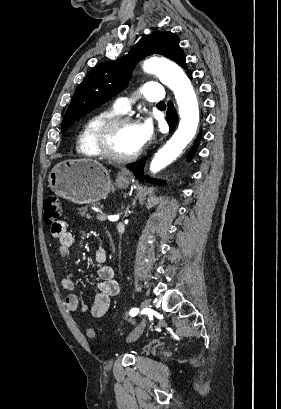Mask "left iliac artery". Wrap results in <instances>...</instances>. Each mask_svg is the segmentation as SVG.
<instances>
[{
    "instance_id": "obj_1",
    "label": "left iliac artery",
    "mask_w": 281,
    "mask_h": 409,
    "mask_svg": "<svg viewBox=\"0 0 281 409\" xmlns=\"http://www.w3.org/2000/svg\"><path fill=\"white\" fill-rule=\"evenodd\" d=\"M139 309L138 308H133L130 310V316H135L138 313Z\"/></svg>"
}]
</instances>
